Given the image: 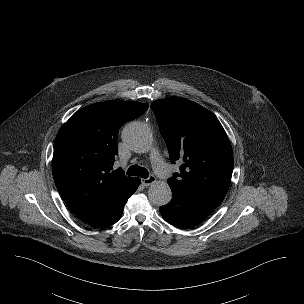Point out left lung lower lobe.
<instances>
[{
	"instance_id": "obj_1",
	"label": "left lung lower lobe",
	"mask_w": 304,
	"mask_h": 304,
	"mask_svg": "<svg viewBox=\"0 0 304 304\" xmlns=\"http://www.w3.org/2000/svg\"><path fill=\"white\" fill-rule=\"evenodd\" d=\"M214 209L176 192H173L172 200L167 205L159 208L162 217L168 223L186 228L199 224Z\"/></svg>"
}]
</instances>
